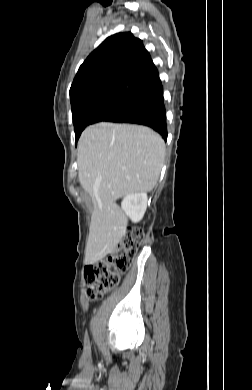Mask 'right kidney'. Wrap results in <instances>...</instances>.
<instances>
[{"instance_id":"obj_1","label":"right kidney","mask_w":252,"mask_h":390,"mask_svg":"<svg viewBox=\"0 0 252 390\" xmlns=\"http://www.w3.org/2000/svg\"><path fill=\"white\" fill-rule=\"evenodd\" d=\"M148 197L145 192L129 194L124 197L121 207L133 222H139L146 211Z\"/></svg>"}]
</instances>
